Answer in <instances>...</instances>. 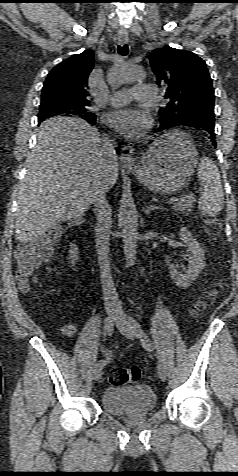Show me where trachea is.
Instances as JSON below:
<instances>
[{"instance_id":"trachea-1","label":"trachea","mask_w":238,"mask_h":476,"mask_svg":"<svg viewBox=\"0 0 238 476\" xmlns=\"http://www.w3.org/2000/svg\"><path fill=\"white\" fill-rule=\"evenodd\" d=\"M118 53L122 56H126L129 52L128 46L124 44L123 46H118Z\"/></svg>"}]
</instances>
